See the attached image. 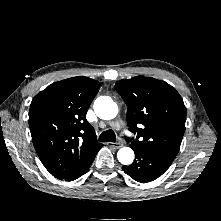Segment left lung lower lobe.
<instances>
[{
    "instance_id": "obj_1",
    "label": "left lung lower lobe",
    "mask_w": 221,
    "mask_h": 221,
    "mask_svg": "<svg viewBox=\"0 0 221 221\" xmlns=\"http://www.w3.org/2000/svg\"><path fill=\"white\" fill-rule=\"evenodd\" d=\"M135 153V161L123 166V171L134 180L146 183L157 179L171 165L174 158L147 151L139 146H130Z\"/></svg>"
}]
</instances>
